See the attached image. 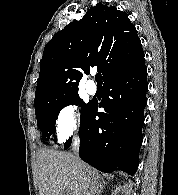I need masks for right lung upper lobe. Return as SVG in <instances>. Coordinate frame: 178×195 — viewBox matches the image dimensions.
<instances>
[{"mask_svg": "<svg viewBox=\"0 0 178 195\" xmlns=\"http://www.w3.org/2000/svg\"><path fill=\"white\" fill-rule=\"evenodd\" d=\"M144 52L125 12L97 3L46 44L35 92V108L78 93L83 74L97 66L103 81L137 67Z\"/></svg>", "mask_w": 178, "mask_h": 195, "instance_id": "right-lung-upper-lobe-1", "label": "right lung upper lobe"}]
</instances>
